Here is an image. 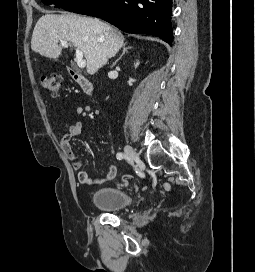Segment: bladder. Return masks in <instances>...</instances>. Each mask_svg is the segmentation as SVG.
Listing matches in <instances>:
<instances>
[{"mask_svg": "<svg viewBox=\"0 0 255 272\" xmlns=\"http://www.w3.org/2000/svg\"><path fill=\"white\" fill-rule=\"evenodd\" d=\"M92 203L99 209L114 213L130 206L133 196L120 188L104 187L93 193Z\"/></svg>", "mask_w": 255, "mask_h": 272, "instance_id": "31cf9c89", "label": "bladder"}]
</instances>
